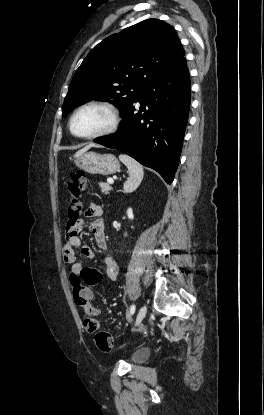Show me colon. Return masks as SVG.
I'll return each mask as SVG.
<instances>
[{
	"label": "colon",
	"mask_w": 264,
	"mask_h": 415,
	"mask_svg": "<svg viewBox=\"0 0 264 415\" xmlns=\"http://www.w3.org/2000/svg\"><path fill=\"white\" fill-rule=\"evenodd\" d=\"M87 177L84 172L75 170L70 174V178L66 182L68 191V221L65 226L67 235H76V224L79 220L81 205L78 201L79 193L86 187ZM102 272L97 268H86L79 275L70 274L69 283L75 304L84 311V327L94 334L97 347L101 351H110L113 340L111 335L101 329L99 323V311L91 304L92 295L87 290L90 286H96L102 282Z\"/></svg>",
	"instance_id": "obj_1"
}]
</instances>
